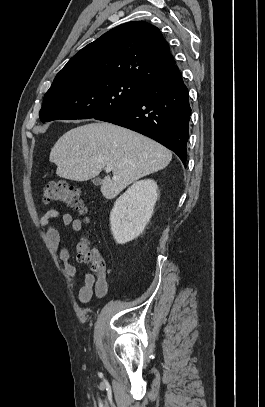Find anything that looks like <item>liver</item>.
<instances>
[{
  "label": "liver",
  "mask_w": 265,
  "mask_h": 407,
  "mask_svg": "<svg viewBox=\"0 0 265 407\" xmlns=\"http://www.w3.org/2000/svg\"><path fill=\"white\" fill-rule=\"evenodd\" d=\"M49 159L56 174L73 181H87L105 167L113 176L102 180L101 193L115 198L138 179L164 169L172 159L170 150L132 130L107 122L90 123L62 135Z\"/></svg>",
  "instance_id": "6515ba94"
}]
</instances>
